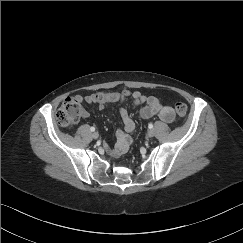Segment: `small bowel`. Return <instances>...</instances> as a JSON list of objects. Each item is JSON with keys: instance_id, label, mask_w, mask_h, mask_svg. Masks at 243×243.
<instances>
[{"instance_id": "obj_1", "label": "small bowel", "mask_w": 243, "mask_h": 243, "mask_svg": "<svg viewBox=\"0 0 243 243\" xmlns=\"http://www.w3.org/2000/svg\"><path fill=\"white\" fill-rule=\"evenodd\" d=\"M121 97L118 100H110L107 95L92 94L88 96H77L81 101L88 104H97L103 107L114 101L123 102L127 97H130L135 105H143L139 111V117L141 119H149L157 116L164 122H171L174 119V112L171 107L163 105L160 100L154 96L145 95L141 92L122 91L120 92ZM88 112L82 111V117L87 118ZM119 115L123 122V129H119L115 132L116 143L114 146L109 144L104 145V150L112 156H120L127 150L129 144L132 141L130 133L134 130L135 124L131 118V115L126 107L119 109Z\"/></svg>"}]
</instances>
